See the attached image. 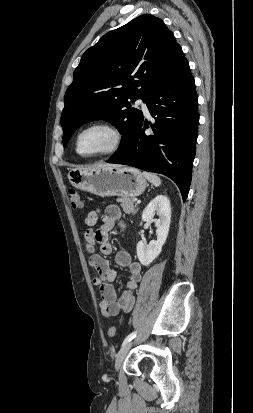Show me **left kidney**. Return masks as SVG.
Here are the masks:
<instances>
[{
  "label": "left kidney",
  "instance_id": "obj_1",
  "mask_svg": "<svg viewBox=\"0 0 253 413\" xmlns=\"http://www.w3.org/2000/svg\"><path fill=\"white\" fill-rule=\"evenodd\" d=\"M155 213L159 215V219H153ZM142 221L154 222L157 228V240H152L149 244L143 241L137 243L138 259L142 265L148 266L159 256L168 236L171 222V207L167 196H156L144 209Z\"/></svg>",
  "mask_w": 253,
  "mask_h": 413
}]
</instances>
